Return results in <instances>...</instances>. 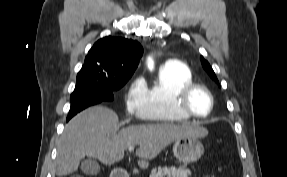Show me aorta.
I'll use <instances>...</instances> for the list:
<instances>
[{"instance_id": "1", "label": "aorta", "mask_w": 287, "mask_h": 177, "mask_svg": "<svg viewBox=\"0 0 287 177\" xmlns=\"http://www.w3.org/2000/svg\"><path fill=\"white\" fill-rule=\"evenodd\" d=\"M147 64H148V68H149L150 70H152L153 67H154V62H153V60H152L151 58H148Z\"/></svg>"}]
</instances>
